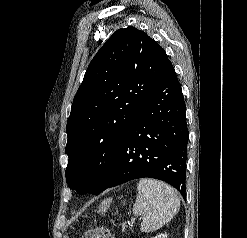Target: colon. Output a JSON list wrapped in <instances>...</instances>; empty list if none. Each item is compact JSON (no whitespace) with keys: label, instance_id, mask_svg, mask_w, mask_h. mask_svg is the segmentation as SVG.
<instances>
[{"label":"colon","instance_id":"5ec220e1","mask_svg":"<svg viewBox=\"0 0 247 238\" xmlns=\"http://www.w3.org/2000/svg\"><path fill=\"white\" fill-rule=\"evenodd\" d=\"M81 238H114V235L104 227H97L84 232Z\"/></svg>","mask_w":247,"mask_h":238}]
</instances>
